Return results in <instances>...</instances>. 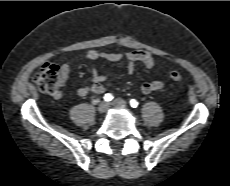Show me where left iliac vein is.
<instances>
[{
  "instance_id": "4c4485c4",
  "label": "left iliac vein",
  "mask_w": 230,
  "mask_h": 186,
  "mask_svg": "<svg viewBox=\"0 0 230 186\" xmlns=\"http://www.w3.org/2000/svg\"><path fill=\"white\" fill-rule=\"evenodd\" d=\"M111 105L117 108H122V109L126 108L127 106L126 102L120 98L114 99Z\"/></svg>"
}]
</instances>
